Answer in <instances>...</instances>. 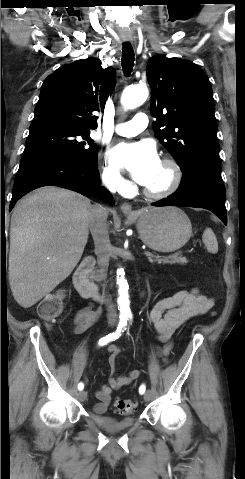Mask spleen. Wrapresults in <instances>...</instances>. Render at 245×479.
Listing matches in <instances>:
<instances>
[{"label": "spleen", "instance_id": "spleen-1", "mask_svg": "<svg viewBox=\"0 0 245 479\" xmlns=\"http://www.w3.org/2000/svg\"><path fill=\"white\" fill-rule=\"evenodd\" d=\"M202 240H203V243L205 244L208 252L210 253H217L218 252V242H217V238L214 234V232L212 231L211 228H206L204 233H203V236H202Z\"/></svg>", "mask_w": 245, "mask_h": 479}]
</instances>
